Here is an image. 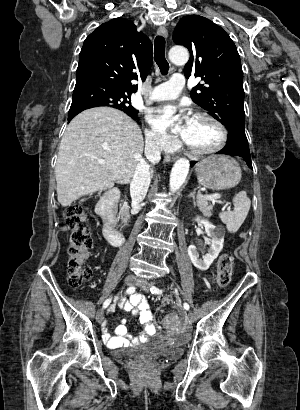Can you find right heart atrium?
Listing matches in <instances>:
<instances>
[{"mask_svg":"<svg viewBox=\"0 0 300 410\" xmlns=\"http://www.w3.org/2000/svg\"><path fill=\"white\" fill-rule=\"evenodd\" d=\"M145 142L150 153H167L177 147V143L172 137L154 127L146 128Z\"/></svg>","mask_w":300,"mask_h":410,"instance_id":"1","label":"right heart atrium"}]
</instances>
